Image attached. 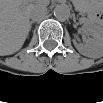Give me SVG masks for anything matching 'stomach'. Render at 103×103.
<instances>
[{
    "label": "stomach",
    "mask_w": 103,
    "mask_h": 103,
    "mask_svg": "<svg viewBox=\"0 0 103 103\" xmlns=\"http://www.w3.org/2000/svg\"><path fill=\"white\" fill-rule=\"evenodd\" d=\"M77 7L80 9V10H84L85 7H89V4L88 3H79L77 4ZM90 11V10H89Z\"/></svg>",
    "instance_id": "stomach-1"
}]
</instances>
